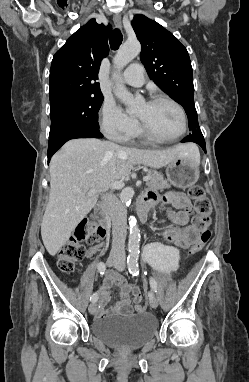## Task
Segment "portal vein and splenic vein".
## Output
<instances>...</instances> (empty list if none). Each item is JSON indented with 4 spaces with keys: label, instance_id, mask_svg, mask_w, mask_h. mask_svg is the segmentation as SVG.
<instances>
[{
    "label": "portal vein and splenic vein",
    "instance_id": "1",
    "mask_svg": "<svg viewBox=\"0 0 249 382\" xmlns=\"http://www.w3.org/2000/svg\"><path fill=\"white\" fill-rule=\"evenodd\" d=\"M150 180V177L149 176H144L143 177V181H145V182H147V181H149ZM124 182L123 181H115V182H113L111 185H110V187L109 188H111V189H121V188H123L124 187ZM108 188V189H109ZM97 193V191L95 190V189H92V190H90L88 193H87V195L88 196H93V195H95Z\"/></svg>",
    "mask_w": 249,
    "mask_h": 382
}]
</instances>
